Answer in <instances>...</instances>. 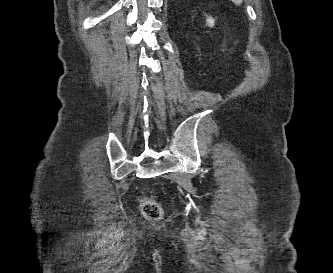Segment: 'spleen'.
<instances>
[{
	"label": "spleen",
	"instance_id": "1",
	"mask_svg": "<svg viewBox=\"0 0 333 273\" xmlns=\"http://www.w3.org/2000/svg\"><path fill=\"white\" fill-rule=\"evenodd\" d=\"M233 3H235L236 5H240L242 3L243 0H231Z\"/></svg>",
	"mask_w": 333,
	"mask_h": 273
}]
</instances>
